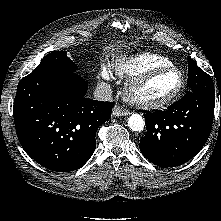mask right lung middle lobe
I'll list each match as a JSON object with an SVG mask.
<instances>
[{
  "mask_svg": "<svg viewBox=\"0 0 221 221\" xmlns=\"http://www.w3.org/2000/svg\"><path fill=\"white\" fill-rule=\"evenodd\" d=\"M51 70L74 71L76 72V64L67 57L66 51H56L46 55L41 63L28 76H34Z\"/></svg>",
  "mask_w": 221,
  "mask_h": 221,
  "instance_id": "1",
  "label": "right lung middle lobe"
}]
</instances>
